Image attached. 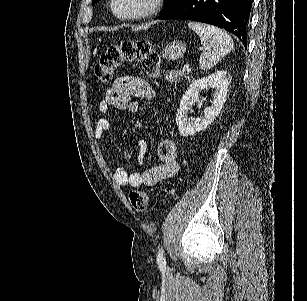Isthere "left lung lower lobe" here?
Returning <instances> with one entry per match:
<instances>
[{
	"label": "left lung lower lobe",
	"instance_id": "1",
	"mask_svg": "<svg viewBox=\"0 0 307 301\" xmlns=\"http://www.w3.org/2000/svg\"><path fill=\"white\" fill-rule=\"evenodd\" d=\"M252 0H179L159 19H186L224 28L246 47Z\"/></svg>",
	"mask_w": 307,
	"mask_h": 301
}]
</instances>
